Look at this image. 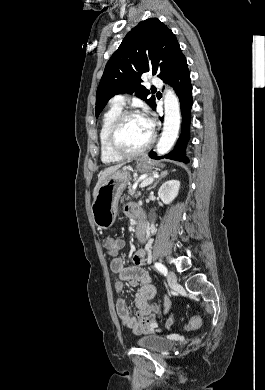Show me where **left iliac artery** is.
I'll return each instance as SVG.
<instances>
[{"label":"left iliac artery","instance_id":"1","mask_svg":"<svg viewBox=\"0 0 265 390\" xmlns=\"http://www.w3.org/2000/svg\"><path fill=\"white\" fill-rule=\"evenodd\" d=\"M155 268L165 276L167 275V268L162 263L156 262Z\"/></svg>","mask_w":265,"mask_h":390}]
</instances>
